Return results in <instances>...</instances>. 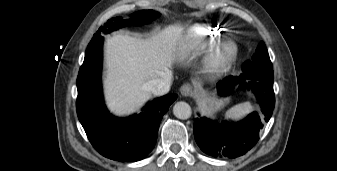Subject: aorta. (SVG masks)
Returning <instances> with one entry per match:
<instances>
[{"label":"aorta","instance_id":"obj_1","mask_svg":"<svg viewBox=\"0 0 337 171\" xmlns=\"http://www.w3.org/2000/svg\"><path fill=\"white\" fill-rule=\"evenodd\" d=\"M173 114L178 118V119H188L190 118L192 114L191 107L188 103L186 102H177L174 107H173Z\"/></svg>","mask_w":337,"mask_h":171}]
</instances>
